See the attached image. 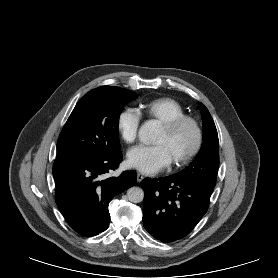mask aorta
Returning <instances> with one entry per match:
<instances>
[{
  "label": "aorta",
  "mask_w": 278,
  "mask_h": 278,
  "mask_svg": "<svg viewBox=\"0 0 278 278\" xmlns=\"http://www.w3.org/2000/svg\"><path fill=\"white\" fill-rule=\"evenodd\" d=\"M159 133L158 122L156 120L146 121L139 129V138L145 144L155 141ZM127 198L133 203H140L144 199V191L140 187H131L127 191Z\"/></svg>",
  "instance_id": "762f6f07"
}]
</instances>
